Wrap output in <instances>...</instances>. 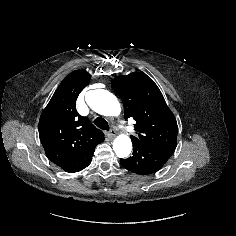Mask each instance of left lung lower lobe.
Wrapping results in <instances>:
<instances>
[{"label": "left lung lower lobe", "mask_w": 236, "mask_h": 236, "mask_svg": "<svg viewBox=\"0 0 236 236\" xmlns=\"http://www.w3.org/2000/svg\"><path fill=\"white\" fill-rule=\"evenodd\" d=\"M133 156L120 159L121 165L138 175H150L159 171L176 149V144L133 143Z\"/></svg>", "instance_id": "1"}]
</instances>
